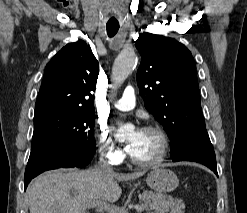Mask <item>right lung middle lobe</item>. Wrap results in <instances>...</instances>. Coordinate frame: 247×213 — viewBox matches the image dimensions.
Segmentation results:
<instances>
[{
	"label": "right lung middle lobe",
	"instance_id": "obj_1",
	"mask_svg": "<svg viewBox=\"0 0 247 213\" xmlns=\"http://www.w3.org/2000/svg\"><path fill=\"white\" fill-rule=\"evenodd\" d=\"M95 111L49 109L34 114L30 157L57 144L71 151H95Z\"/></svg>",
	"mask_w": 247,
	"mask_h": 213
}]
</instances>
